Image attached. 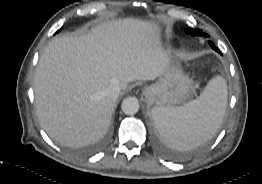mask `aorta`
<instances>
[{
    "label": "aorta",
    "mask_w": 262,
    "mask_h": 184,
    "mask_svg": "<svg viewBox=\"0 0 262 184\" xmlns=\"http://www.w3.org/2000/svg\"><path fill=\"white\" fill-rule=\"evenodd\" d=\"M139 101L136 97L130 96L123 100L121 104L122 111L126 115H134L139 110Z\"/></svg>",
    "instance_id": "obj_1"
}]
</instances>
